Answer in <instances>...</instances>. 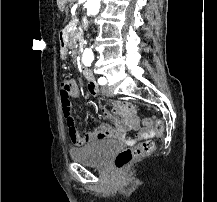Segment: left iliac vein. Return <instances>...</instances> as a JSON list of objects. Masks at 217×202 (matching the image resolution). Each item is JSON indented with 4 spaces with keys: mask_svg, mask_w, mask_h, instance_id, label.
<instances>
[{
    "mask_svg": "<svg viewBox=\"0 0 217 202\" xmlns=\"http://www.w3.org/2000/svg\"><path fill=\"white\" fill-rule=\"evenodd\" d=\"M102 93H103L104 95H107V96H112V95H113L111 89H110L108 86H104V87L102 88Z\"/></svg>",
    "mask_w": 217,
    "mask_h": 202,
    "instance_id": "1",
    "label": "left iliac vein"
}]
</instances>
